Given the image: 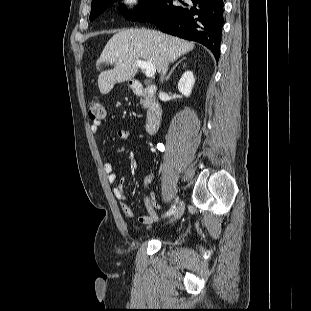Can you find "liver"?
<instances>
[{
    "label": "liver",
    "instance_id": "liver-1",
    "mask_svg": "<svg viewBox=\"0 0 311 311\" xmlns=\"http://www.w3.org/2000/svg\"><path fill=\"white\" fill-rule=\"evenodd\" d=\"M194 48V43L147 29H126L113 35L104 47L97 63L114 65L98 77L102 94L109 93L116 83L133 78L138 72L136 60L151 62L157 72L162 71L165 61L173 62Z\"/></svg>",
    "mask_w": 311,
    "mask_h": 311
}]
</instances>
